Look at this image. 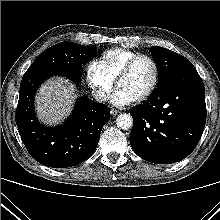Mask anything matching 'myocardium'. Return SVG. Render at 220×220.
Here are the masks:
<instances>
[{"label": "myocardium", "mask_w": 220, "mask_h": 220, "mask_svg": "<svg viewBox=\"0 0 220 220\" xmlns=\"http://www.w3.org/2000/svg\"><path fill=\"white\" fill-rule=\"evenodd\" d=\"M141 59H146L148 60L152 67H153V78L152 81L149 85V87L140 95L138 96L135 101L136 102H142L144 100H146L147 98H149L153 92L155 91L158 82H159V76H160V70H159V66L157 61L150 55L147 54H137L134 57H132L123 67L122 69L119 71V73L117 74L115 81L116 84L118 85L119 81L126 76L134 67V65Z\"/></svg>", "instance_id": "obj_1"}]
</instances>
